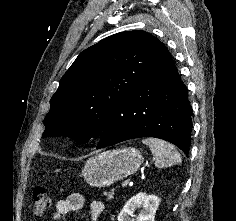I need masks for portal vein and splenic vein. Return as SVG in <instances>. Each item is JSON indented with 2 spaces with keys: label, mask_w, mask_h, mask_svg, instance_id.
<instances>
[{
  "label": "portal vein and splenic vein",
  "mask_w": 236,
  "mask_h": 221,
  "mask_svg": "<svg viewBox=\"0 0 236 221\" xmlns=\"http://www.w3.org/2000/svg\"><path fill=\"white\" fill-rule=\"evenodd\" d=\"M128 183H129V181H124V182L122 183L121 187H122V188L127 187Z\"/></svg>",
  "instance_id": "portal-vein-and-splenic-vein-1"
}]
</instances>
